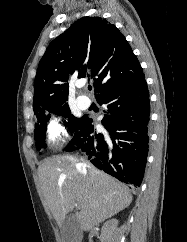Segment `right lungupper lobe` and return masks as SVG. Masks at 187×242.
Returning <instances> with one entry per match:
<instances>
[{"label":"right lung upper lobe","instance_id":"cb5924a9","mask_svg":"<svg viewBox=\"0 0 187 242\" xmlns=\"http://www.w3.org/2000/svg\"><path fill=\"white\" fill-rule=\"evenodd\" d=\"M92 78L96 99L144 77L124 35L101 17H83L55 38L39 62L34 81V113L67 105L68 82Z\"/></svg>","mask_w":187,"mask_h":242}]
</instances>
